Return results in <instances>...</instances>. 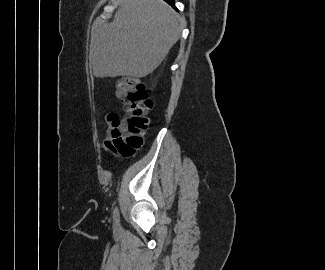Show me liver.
I'll list each match as a JSON object with an SVG mask.
<instances>
[{"instance_id": "obj_1", "label": "liver", "mask_w": 325, "mask_h": 270, "mask_svg": "<svg viewBox=\"0 0 325 270\" xmlns=\"http://www.w3.org/2000/svg\"><path fill=\"white\" fill-rule=\"evenodd\" d=\"M181 30V17L163 0H122L112 22L92 27L94 76L149 75L177 42Z\"/></svg>"}]
</instances>
